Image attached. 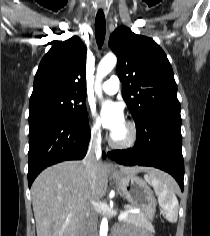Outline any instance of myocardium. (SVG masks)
I'll return each instance as SVG.
<instances>
[{"label":"myocardium","instance_id":"obj_1","mask_svg":"<svg viewBox=\"0 0 210 236\" xmlns=\"http://www.w3.org/2000/svg\"><path fill=\"white\" fill-rule=\"evenodd\" d=\"M126 126L128 128V136L122 141H118L113 137V134L110 135L109 143L112 147L117 149H127L132 147L138 138V129L132 120L126 121Z\"/></svg>","mask_w":210,"mask_h":236}]
</instances>
